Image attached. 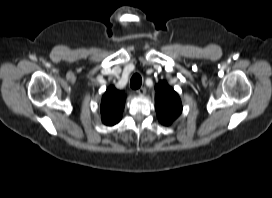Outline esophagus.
I'll return each mask as SVG.
<instances>
[{
	"label": "esophagus",
	"mask_w": 272,
	"mask_h": 198,
	"mask_svg": "<svg viewBox=\"0 0 272 198\" xmlns=\"http://www.w3.org/2000/svg\"><path fill=\"white\" fill-rule=\"evenodd\" d=\"M136 93H137L138 95H140V96L145 95V94H146V88L141 87V88H139V89L136 91Z\"/></svg>",
	"instance_id": "obj_1"
}]
</instances>
